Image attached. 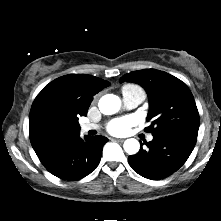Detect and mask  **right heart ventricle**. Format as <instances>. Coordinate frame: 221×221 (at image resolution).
Here are the masks:
<instances>
[{"label":"right heart ventricle","instance_id":"e07e8e85","mask_svg":"<svg viewBox=\"0 0 221 221\" xmlns=\"http://www.w3.org/2000/svg\"><path fill=\"white\" fill-rule=\"evenodd\" d=\"M133 90H141V88L136 85L128 84V85L123 86L122 93L133 91Z\"/></svg>","mask_w":221,"mask_h":221}]
</instances>
